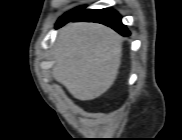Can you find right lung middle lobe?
I'll return each instance as SVG.
<instances>
[{"instance_id":"dd1d6c3e","label":"right lung middle lobe","mask_w":182,"mask_h":140,"mask_svg":"<svg viewBox=\"0 0 182 140\" xmlns=\"http://www.w3.org/2000/svg\"><path fill=\"white\" fill-rule=\"evenodd\" d=\"M83 9H84V7H78V8H76V9H73L72 11H70V12L66 13L65 15H63V16L58 20V23H59V22H62V21H64V20H66V19H68L69 17H71V16H73V15L79 13V12H81Z\"/></svg>"}]
</instances>
